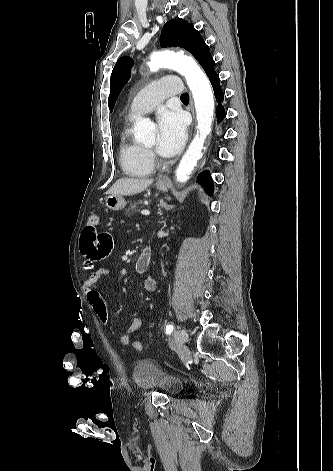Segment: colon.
<instances>
[{
  "mask_svg": "<svg viewBox=\"0 0 333 471\" xmlns=\"http://www.w3.org/2000/svg\"><path fill=\"white\" fill-rule=\"evenodd\" d=\"M99 221H100L99 215L96 214V213H93V214L90 215L88 223L90 225L96 227L99 224ZM131 346L134 350H136L138 352L142 351V349H143V345L139 341H133L131 343Z\"/></svg>",
  "mask_w": 333,
  "mask_h": 471,
  "instance_id": "colon-1",
  "label": "colon"
}]
</instances>
